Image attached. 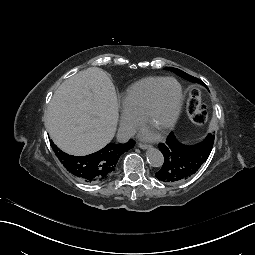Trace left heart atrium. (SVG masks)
Segmentation results:
<instances>
[{
  "instance_id": "obj_1",
  "label": "left heart atrium",
  "mask_w": 255,
  "mask_h": 255,
  "mask_svg": "<svg viewBox=\"0 0 255 255\" xmlns=\"http://www.w3.org/2000/svg\"><path fill=\"white\" fill-rule=\"evenodd\" d=\"M143 136L145 138H153L155 136V134H153L151 132H145V133H143Z\"/></svg>"
}]
</instances>
